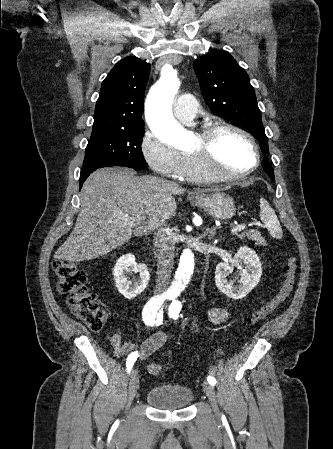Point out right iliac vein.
Here are the masks:
<instances>
[{
  "label": "right iliac vein",
  "mask_w": 333,
  "mask_h": 449,
  "mask_svg": "<svg viewBox=\"0 0 333 449\" xmlns=\"http://www.w3.org/2000/svg\"><path fill=\"white\" fill-rule=\"evenodd\" d=\"M139 388V375L137 370L133 369L130 377L129 390L127 395V407H129L135 398Z\"/></svg>",
  "instance_id": "right-iliac-vein-1"
}]
</instances>
